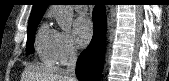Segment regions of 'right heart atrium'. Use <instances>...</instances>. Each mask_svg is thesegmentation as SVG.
I'll list each match as a JSON object with an SVG mask.
<instances>
[{
    "instance_id": "obj_1",
    "label": "right heart atrium",
    "mask_w": 169,
    "mask_h": 81,
    "mask_svg": "<svg viewBox=\"0 0 169 81\" xmlns=\"http://www.w3.org/2000/svg\"><path fill=\"white\" fill-rule=\"evenodd\" d=\"M56 61L64 63L71 59L76 53L75 43L69 33L55 31L53 40Z\"/></svg>"
}]
</instances>
